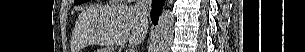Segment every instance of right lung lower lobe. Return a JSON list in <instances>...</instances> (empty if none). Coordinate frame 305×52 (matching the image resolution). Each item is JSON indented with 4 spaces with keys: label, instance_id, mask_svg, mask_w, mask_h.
<instances>
[{
    "label": "right lung lower lobe",
    "instance_id": "right-lung-lower-lobe-1",
    "mask_svg": "<svg viewBox=\"0 0 305 52\" xmlns=\"http://www.w3.org/2000/svg\"><path fill=\"white\" fill-rule=\"evenodd\" d=\"M165 0H153L152 1V11H151V19L154 25L158 23V18L163 8Z\"/></svg>",
    "mask_w": 305,
    "mask_h": 52
}]
</instances>
